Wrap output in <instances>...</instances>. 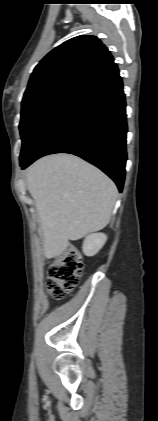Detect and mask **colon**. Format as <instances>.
Wrapping results in <instances>:
<instances>
[{
  "mask_svg": "<svg viewBox=\"0 0 158 421\" xmlns=\"http://www.w3.org/2000/svg\"><path fill=\"white\" fill-rule=\"evenodd\" d=\"M82 261L74 247H68L51 263L47 288L53 299L60 300L78 285L82 274Z\"/></svg>",
  "mask_w": 158,
  "mask_h": 421,
  "instance_id": "5ec220e1",
  "label": "colon"
}]
</instances>
